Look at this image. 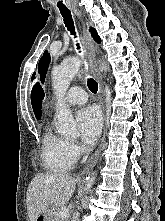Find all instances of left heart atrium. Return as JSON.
<instances>
[{
	"mask_svg": "<svg viewBox=\"0 0 165 221\" xmlns=\"http://www.w3.org/2000/svg\"><path fill=\"white\" fill-rule=\"evenodd\" d=\"M80 136L85 145L93 144L102 128V116L96 107L88 106L77 114Z\"/></svg>",
	"mask_w": 165,
	"mask_h": 221,
	"instance_id": "1",
	"label": "left heart atrium"
}]
</instances>
